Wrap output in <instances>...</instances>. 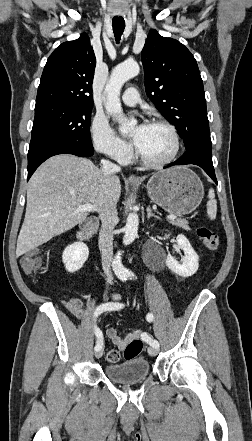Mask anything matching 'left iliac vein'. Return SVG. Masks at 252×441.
I'll list each match as a JSON object with an SVG mask.
<instances>
[{
	"label": "left iliac vein",
	"instance_id": "left-iliac-vein-1",
	"mask_svg": "<svg viewBox=\"0 0 252 441\" xmlns=\"http://www.w3.org/2000/svg\"><path fill=\"white\" fill-rule=\"evenodd\" d=\"M158 348H155V347H149V349H148V353L151 355V356H155V355H157L158 354Z\"/></svg>",
	"mask_w": 252,
	"mask_h": 441
}]
</instances>
